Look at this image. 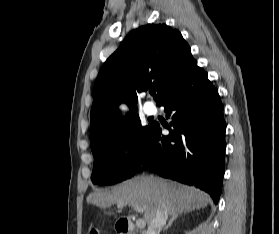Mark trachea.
Segmentation results:
<instances>
[{"label":"trachea","mask_w":279,"mask_h":234,"mask_svg":"<svg viewBox=\"0 0 279 234\" xmlns=\"http://www.w3.org/2000/svg\"><path fill=\"white\" fill-rule=\"evenodd\" d=\"M150 94H154V89L149 90Z\"/></svg>","instance_id":"trachea-1"}]
</instances>
